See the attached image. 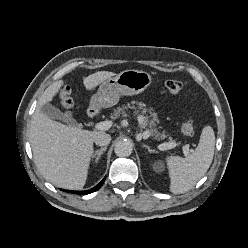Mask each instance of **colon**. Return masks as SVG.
I'll list each match as a JSON object with an SVG mask.
<instances>
[{
	"instance_id": "5ec220e1",
	"label": "colon",
	"mask_w": 248,
	"mask_h": 248,
	"mask_svg": "<svg viewBox=\"0 0 248 248\" xmlns=\"http://www.w3.org/2000/svg\"><path fill=\"white\" fill-rule=\"evenodd\" d=\"M167 91L171 94H178L183 91L184 85L178 80H168L165 83ZM61 105L66 113H69L73 106V100L68 87H64L60 93ZM181 132L186 137H192L195 134L194 121L188 117L181 126Z\"/></svg>"
}]
</instances>
